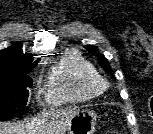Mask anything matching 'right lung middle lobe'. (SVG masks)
I'll return each instance as SVG.
<instances>
[{
  "mask_svg": "<svg viewBox=\"0 0 153 134\" xmlns=\"http://www.w3.org/2000/svg\"><path fill=\"white\" fill-rule=\"evenodd\" d=\"M32 79L27 75H0V121L28 112L26 106Z\"/></svg>",
  "mask_w": 153,
  "mask_h": 134,
  "instance_id": "dd1d6c3e",
  "label": "right lung middle lobe"
}]
</instances>
